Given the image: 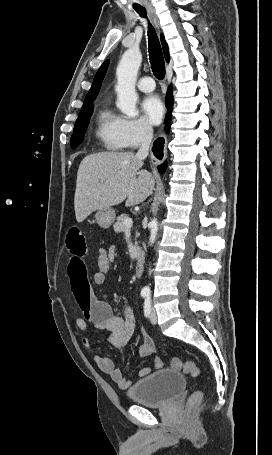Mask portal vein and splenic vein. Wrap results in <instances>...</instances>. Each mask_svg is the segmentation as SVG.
<instances>
[{
	"mask_svg": "<svg viewBox=\"0 0 272 455\" xmlns=\"http://www.w3.org/2000/svg\"><path fill=\"white\" fill-rule=\"evenodd\" d=\"M124 224L126 226V229H130L133 225V221L131 218H126L124 221Z\"/></svg>",
	"mask_w": 272,
	"mask_h": 455,
	"instance_id": "1",
	"label": "portal vein and splenic vein"
}]
</instances>
